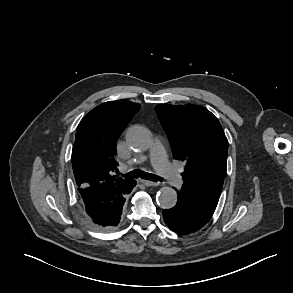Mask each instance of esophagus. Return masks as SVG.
<instances>
[{
    "label": "esophagus",
    "mask_w": 293,
    "mask_h": 293,
    "mask_svg": "<svg viewBox=\"0 0 293 293\" xmlns=\"http://www.w3.org/2000/svg\"><path fill=\"white\" fill-rule=\"evenodd\" d=\"M141 183L147 187L149 186H158L159 183L158 182H153V181H149V180H141Z\"/></svg>",
    "instance_id": "34e87169"
}]
</instances>
